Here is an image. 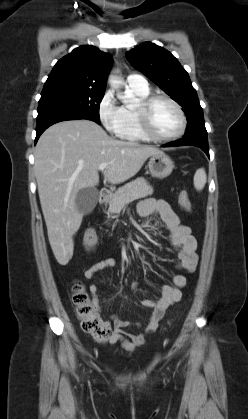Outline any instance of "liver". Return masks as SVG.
<instances>
[{"instance_id": "6515ba94", "label": "liver", "mask_w": 248, "mask_h": 419, "mask_svg": "<svg viewBox=\"0 0 248 419\" xmlns=\"http://www.w3.org/2000/svg\"><path fill=\"white\" fill-rule=\"evenodd\" d=\"M159 153L153 146L116 140L90 120L59 122L41 135L34 152L35 176L49 243L60 265L72 258L73 235L83 219L76 196L81 189L98 185L99 165L108 163L104 178L119 184Z\"/></svg>"}]
</instances>
